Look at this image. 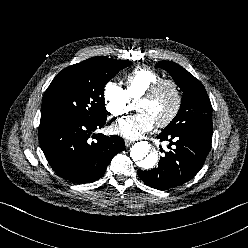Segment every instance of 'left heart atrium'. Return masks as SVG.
Listing matches in <instances>:
<instances>
[{"label":"left heart atrium","mask_w":248,"mask_h":248,"mask_svg":"<svg viewBox=\"0 0 248 248\" xmlns=\"http://www.w3.org/2000/svg\"><path fill=\"white\" fill-rule=\"evenodd\" d=\"M155 125L152 118L145 112L124 118L112 126V131L124 138L134 140L150 131Z\"/></svg>","instance_id":"1"}]
</instances>
